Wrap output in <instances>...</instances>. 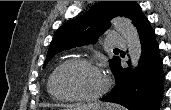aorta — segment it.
I'll return each instance as SVG.
<instances>
[{
  "mask_svg": "<svg viewBox=\"0 0 171 110\" xmlns=\"http://www.w3.org/2000/svg\"><path fill=\"white\" fill-rule=\"evenodd\" d=\"M112 23L124 37L127 43L132 68L135 69L138 66L142 53L141 42L137 29L133 25L132 21L125 17H116L112 20Z\"/></svg>",
  "mask_w": 171,
  "mask_h": 110,
  "instance_id": "obj_1",
  "label": "aorta"
}]
</instances>
